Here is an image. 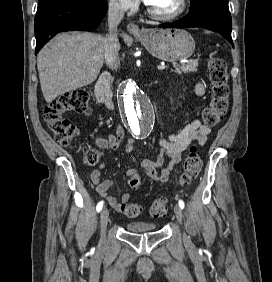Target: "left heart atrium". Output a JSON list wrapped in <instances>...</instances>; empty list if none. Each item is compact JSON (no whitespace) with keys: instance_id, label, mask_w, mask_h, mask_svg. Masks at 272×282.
<instances>
[{"instance_id":"left-heart-atrium-1","label":"left heart atrium","mask_w":272,"mask_h":282,"mask_svg":"<svg viewBox=\"0 0 272 282\" xmlns=\"http://www.w3.org/2000/svg\"><path fill=\"white\" fill-rule=\"evenodd\" d=\"M144 1H145V3H147V4H148V1H149V0H144Z\"/></svg>"}]
</instances>
